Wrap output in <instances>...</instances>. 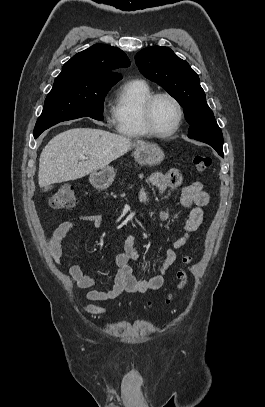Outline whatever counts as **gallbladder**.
I'll return each instance as SVG.
<instances>
[{"label":"gallbladder","instance_id":"gallbladder-1","mask_svg":"<svg viewBox=\"0 0 265 407\" xmlns=\"http://www.w3.org/2000/svg\"><path fill=\"white\" fill-rule=\"evenodd\" d=\"M51 188H52V186H50V185L46 186V187L43 188V191L47 192V191L51 190Z\"/></svg>","mask_w":265,"mask_h":407}]
</instances>
